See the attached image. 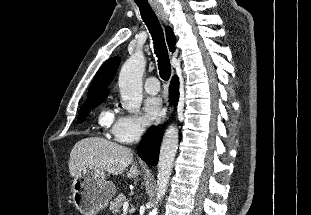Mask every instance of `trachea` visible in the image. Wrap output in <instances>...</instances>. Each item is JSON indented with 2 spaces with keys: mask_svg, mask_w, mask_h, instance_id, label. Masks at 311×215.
<instances>
[{
  "mask_svg": "<svg viewBox=\"0 0 311 215\" xmlns=\"http://www.w3.org/2000/svg\"><path fill=\"white\" fill-rule=\"evenodd\" d=\"M143 21L148 27L154 43V51L158 57V69L160 77L167 81L171 75V64L166 47L163 29L156 14L150 6L138 5Z\"/></svg>",
  "mask_w": 311,
  "mask_h": 215,
  "instance_id": "trachea-1",
  "label": "trachea"
}]
</instances>
